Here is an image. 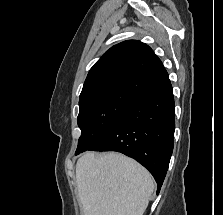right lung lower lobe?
Listing matches in <instances>:
<instances>
[{
  "instance_id": "obj_1",
  "label": "right lung lower lobe",
  "mask_w": 223,
  "mask_h": 215,
  "mask_svg": "<svg viewBox=\"0 0 223 215\" xmlns=\"http://www.w3.org/2000/svg\"><path fill=\"white\" fill-rule=\"evenodd\" d=\"M175 104L171 83L143 95L88 150L121 152L163 184L173 151Z\"/></svg>"
}]
</instances>
